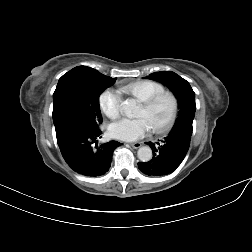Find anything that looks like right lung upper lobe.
Returning a JSON list of instances; mask_svg holds the SVG:
<instances>
[{"instance_id":"obj_1","label":"right lung upper lobe","mask_w":252,"mask_h":252,"mask_svg":"<svg viewBox=\"0 0 252 252\" xmlns=\"http://www.w3.org/2000/svg\"><path fill=\"white\" fill-rule=\"evenodd\" d=\"M101 74L99 73L97 70L90 68V67H86V66H78L73 68L72 70H70L69 72H67L66 74H64L62 78L68 77V76H72V75H78V74ZM103 75V74H102ZM111 78V77H109Z\"/></svg>"}]
</instances>
